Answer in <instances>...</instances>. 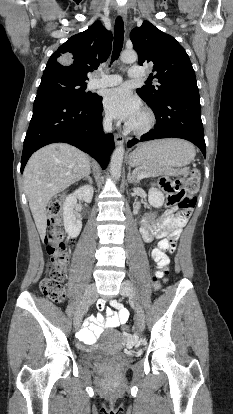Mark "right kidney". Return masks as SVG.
Wrapping results in <instances>:
<instances>
[{
	"label": "right kidney",
	"instance_id": "right-kidney-1",
	"mask_svg": "<svg viewBox=\"0 0 233 414\" xmlns=\"http://www.w3.org/2000/svg\"><path fill=\"white\" fill-rule=\"evenodd\" d=\"M93 192L92 186H81L75 190V192L70 194L63 203L64 228L71 238H76L82 229V221L77 219L74 215V208L77 205V200L90 203L93 197Z\"/></svg>",
	"mask_w": 233,
	"mask_h": 414
}]
</instances>
